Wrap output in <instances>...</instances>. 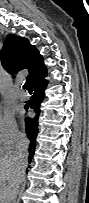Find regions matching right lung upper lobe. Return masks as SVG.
<instances>
[{"label":"right lung upper lobe","instance_id":"obj_1","mask_svg":"<svg viewBox=\"0 0 89 203\" xmlns=\"http://www.w3.org/2000/svg\"><path fill=\"white\" fill-rule=\"evenodd\" d=\"M0 58L3 67L9 73H17L20 70L28 69L27 83L30 84L37 76L46 70L43 64V57L28 39L9 34L2 50Z\"/></svg>","mask_w":89,"mask_h":203}]
</instances>
